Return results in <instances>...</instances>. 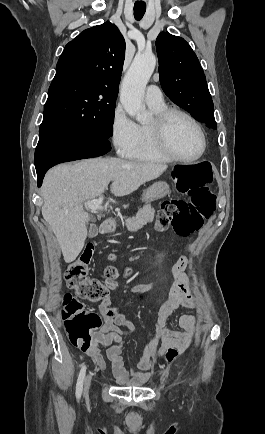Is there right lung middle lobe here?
Returning a JSON list of instances; mask_svg holds the SVG:
<instances>
[{"mask_svg":"<svg viewBox=\"0 0 265 434\" xmlns=\"http://www.w3.org/2000/svg\"><path fill=\"white\" fill-rule=\"evenodd\" d=\"M118 89L86 78L53 80L40 128L54 126L71 134L109 139Z\"/></svg>","mask_w":265,"mask_h":434,"instance_id":"dd1d6c3e","label":"right lung middle lobe"}]
</instances>
